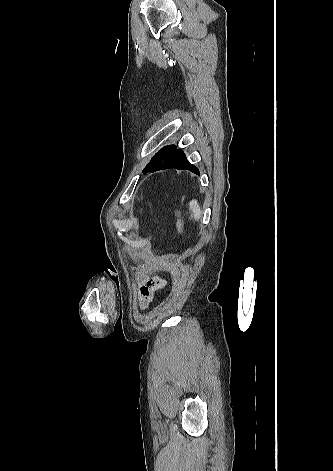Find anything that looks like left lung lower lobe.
I'll list each match as a JSON object with an SVG mask.
<instances>
[{
  "label": "left lung lower lobe",
  "mask_w": 333,
  "mask_h": 471,
  "mask_svg": "<svg viewBox=\"0 0 333 471\" xmlns=\"http://www.w3.org/2000/svg\"><path fill=\"white\" fill-rule=\"evenodd\" d=\"M168 166L169 168H176L178 170H189L197 175L200 174L198 168L187 160L186 155L182 151H179L171 158Z\"/></svg>",
  "instance_id": "0a47b994"
}]
</instances>
